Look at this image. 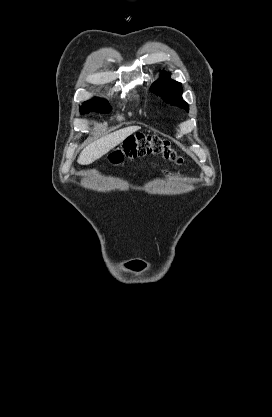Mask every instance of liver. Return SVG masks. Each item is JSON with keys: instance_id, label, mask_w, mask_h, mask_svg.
Returning a JSON list of instances; mask_svg holds the SVG:
<instances>
[{"instance_id": "6515ba94", "label": "liver", "mask_w": 272, "mask_h": 417, "mask_svg": "<svg viewBox=\"0 0 272 417\" xmlns=\"http://www.w3.org/2000/svg\"><path fill=\"white\" fill-rule=\"evenodd\" d=\"M139 129V126H129L101 137L82 150L77 162L81 165L93 163Z\"/></svg>"}]
</instances>
